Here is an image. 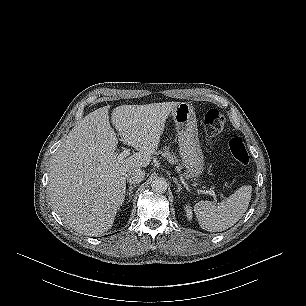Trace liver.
Instances as JSON below:
<instances>
[{"mask_svg":"<svg viewBox=\"0 0 306 306\" xmlns=\"http://www.w3.org/2000/svg\"><path fill=\"white\" fill-rule=\"evenodd\" d=\"M179 102L122 105L112 122L122 142L138 152L123 161L110 125L109 107L86 115L56 151L49 171L48 194L53 208L75 231L97 236L111 229L122 206L127 174L147 167L158 148L165 122Z\"/></svg>","mask_w":306,"mask_h":306,"instance_id":"1","label":"liver"}]
</instances>
